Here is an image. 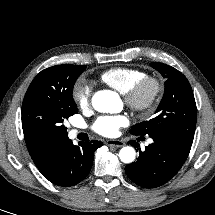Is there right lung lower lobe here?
Here are the masks:
<instances>
[{"instance_id":"98d812e1","label":"right lung lower lobe","mask_w":215,"mask_h":215,"mask_svg":"<svg viewBox=\"0 0 215 215\" xmlns=\"http://www.w3.org/2000/svg\"><path fill=\"white\" fill-rule=\"evenodd\" d=\"M103 144L94 140L73 145L68 138L56 150L46 171L41 172L50 182L70 187L81 182L90 172L94 152Z\"/></svg>"}]
</instances>
